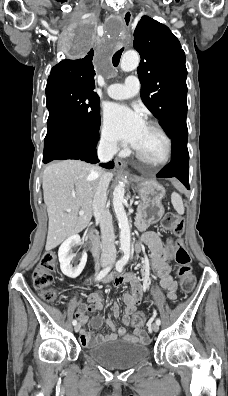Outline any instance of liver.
Wrapping results in <instances>:
<instances>
[{
    "label": "liver",
    "mask_w": 228,
    "mask_h": 396,
    "mask_svg": "<svg viewBox=\"0 0 228 396\" xmlns=\"http://www.w3.org/2000/svg\"><path fill=\"white\" fill-rule=\"evenodd\" d=\"M103 173L98 167L78 160L60 161L45 168L42 187L49 218L47 251L89 225L93 197ZM79 210L84 214L79 215Z\"/></svg>",
    "instance_id": "liver-1"
}]
</instances>
